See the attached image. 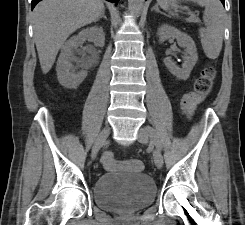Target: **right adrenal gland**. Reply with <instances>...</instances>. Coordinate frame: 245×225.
<instances>
[{
    "label": "right adrenal gland",
    "instance_id": "obj_1",
    "mask_svg": "<svg viewBox=\"0 0 245 225\" xmlns=\"http://www.w3.org/2000/svg\"><path fill=\"white\" fill-rule=\"evenodd\" d=\"M101 18H104L107 20V17L105 16V12L103 11L101 16L97 19V21H99Z\"/></svg>",
    "mask_w": 245,
    "mask_h": 225
}]
</instances>
